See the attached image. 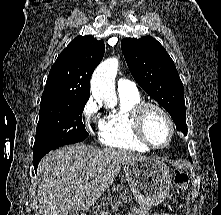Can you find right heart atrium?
Instances as JSON below:
<instances>
[{
  "label": "right heart atrium",
  "mask_w": 221,
  "mask_h": 215,
  "mask_svg": "<svg viewBox=\"0 0 221 215\" xmlns=\"http://www.w3.org/2000/svg\"><path fill=\"white\" fill-rule=\"evenodd\" d=\"M82 118L86 129L90 132L98 131L100 133L103 120L100 117L99 103L94 97H90L82 108Z\"/></svg>",
  "instance_id": "d8ad5b80"
}]
</instances>
